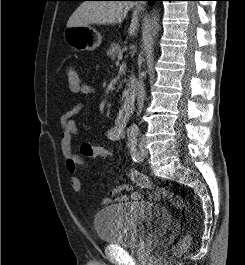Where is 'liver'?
<instances>
[{
  "instance_id": "liver-1",
  "label": "liver",
  "mask_w": 245,
  "mask_h": 265,
  "mask_svg": "<svg viewBox=\"0 0 245 265\" xmlns=\"http://www.w3.org/2000/svg\"><path fill=\"white\" fill-rule=\"evenodd\" d=\"M141 5L129 1H85L71 15L67 27L119 24L135 6L129 28V34L132 36L138 29V13L142 9Z\"/></svg>"
}]
</instances>
